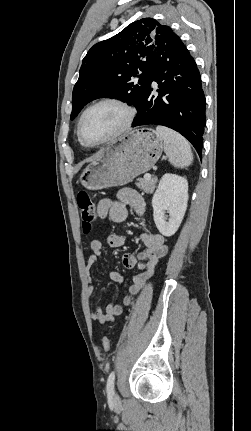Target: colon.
Segmentation results:
<instances>
[{"mask_svg": "<svg viewBox=\"0 0 251 431\" xmlns=\"http://www.w3.org/2000/svg\"><path fill=\"white\" fill-rule=\"evenodd\" d=\"M77 204L82 222V229L84 233H89L92 229L93 223L96 218V208L89 196V194L81 190L77 195ZM102 347L105 352H108L111 348V341L108 336L102 337Z\"/></svg>", "mask_w": 251, "mask_h": 431, "instance_id": "colon-1", "label": "colon"}]
</instances>
